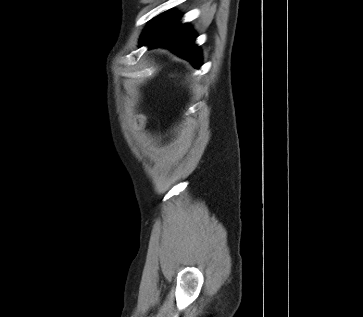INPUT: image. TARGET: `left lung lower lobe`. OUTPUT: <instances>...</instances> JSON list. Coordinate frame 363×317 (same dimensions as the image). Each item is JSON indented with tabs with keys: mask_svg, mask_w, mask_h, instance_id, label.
I'll return each instance as SVG.
<instances>
[{
	"mask_svg": "<svg viewBox=\"0 0 363 317\" xmlns=\"http://www.w3.org/2000/svg\"><path fill=\"white\" fill-rule=\"evenodd\" d=\"M179 19V16L170 12L154 18L143 34L141 45L168 47L200 68V51L193 45L196 36L186 24H179Z\"/></svg>",
	"mask_w": 363,
	"mask_h": 317,
	"instance_id": "0a47b994",
	"label": "left lung lower lobe"
}]
</instances>
